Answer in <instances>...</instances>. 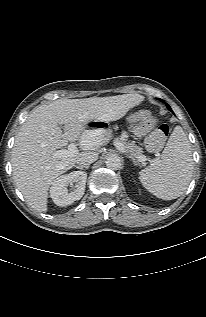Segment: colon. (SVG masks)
Segmentation results:
<instances>
[{
  "mask_svg": "<svg viewBox=\"0 0 206 317\" xmlns=\"http://www.w3.org/2000/svg\"><path fill=\"white\" fill-rule=\"evenodd\" d=\"M131 121L141 127L151 130L146 140V145L150 150H158L169 134L167 124L157 125L156 118L147 110H138L131 115Z\"/></svg>",
  "mask_w": 206,
  "mask_h": 317,
  "instance_id": "1",
  "label": "colon"
}]
</instances>
